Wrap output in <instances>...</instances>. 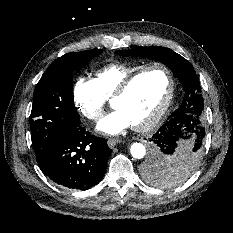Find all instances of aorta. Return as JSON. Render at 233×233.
Masks as SVG:
<instances>
[{
	"label": "aorta",
	"instance_id": "1",
	"mask_svg": "<svg viewBox=\"0 0 233 233\" xmlns=\"http://www.w3.org/2000/svg\"><path fill=\"white\" fill-rule=\"evenodd\" d=\"M130 153L134 158L141 159L146 155V148L143 144L135 142L130 147Z\"/></svg>",
	"mask_w": 233,
	"mask_h": 233
}]
</instances>
